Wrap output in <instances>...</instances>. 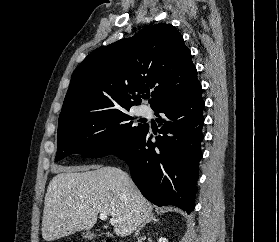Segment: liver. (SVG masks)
<instances>
[{
  "label": "liver",
  "instance_id": "6515ba94",
  "mask_svg": "<svg viewBox=\"0 0 279 242\" xmlns=\"http://www.w3.org/2000/svg\"><path fill=\"white\" fill-rule=\"evenodd\" d=\"M152 210L151 203L119 168L61 167L45 195L42 237L54 241L90 230L101 213L116 219L114 233L126 237L150 217Z\"/></svg>",
  "mask_w": 279,
  "mask_h": 242
}]
</instances>
